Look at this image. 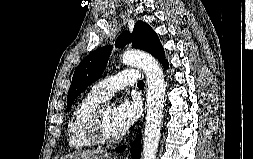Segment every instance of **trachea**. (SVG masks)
Wrapping results in <instances>:
<instances>
[{
    "label": "trachea",
    "instance_id": "trachea-1",
    "mask_svg": "<svg viewBox=\"0 0 253 159\" xmlns=\"http://www.w3.org/2000/svg\"><path fill=\"white\" fill-rule=\"evenodd\" d=\"M137 86H138L139 88H144V82H143L142 80L139 81L138 84H137Z\"/></svg>",
    "mask_w": 253,
    "mask_h": 159
}]
</instances>
